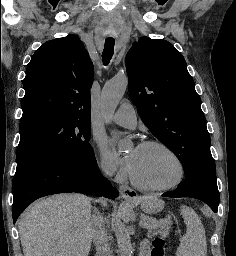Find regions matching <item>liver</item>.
I'll list each match as a JSON object with an SVG mask.
<instances>
[{
  "mask_svg": "<svg viewBox=\"0 0 236 256\" xmlns=\"http://www.w3.org/2000/svg\"><path fill=\"white\" fill-rule=\"evenodd\" d=\"M90 198L83 194H55L37 200L18 220L24 256H88L93 226ZM91 224V226H90Z\"/></svg>",
  "mask_w": 236,
  "mask_h": 256,
  "instance_id": "6515ba94",
  "label": "liver"
}]
</instances>
